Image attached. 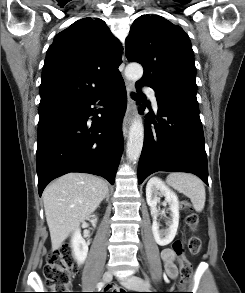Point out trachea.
<instances>
[{
	"mask_svg": "<svg viewBox=\"0 0 245 293\" xmlns=\"http://www.w3.org/2000/svg\"><path fill=\"white\" fill-rule=\"evenodd\" d=\"M132 96H133V97H137L138 95H136V94H133Z\"/></svg>",
	"mask_w": 245,
	"mask_h": 293,
	"instance_id": "1",
	"label": "trachea"
}]
</instances>
